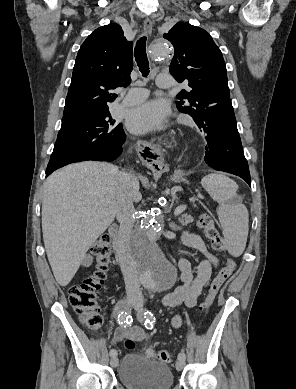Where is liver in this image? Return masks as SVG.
<instances>
[{"label": "liver", "instance_id": "obj_1", "mask_svg": "<svg viewBox=\"0 0 296 389\" xmlns=\"http://www.w3.org/2000/svg\"><path fill=\"white\" fill-rule=\"evenodd\" d=\"M117 166L93 161L68 165L46 180L42 232L47 257L58 284L66 286L87 251L116 215ZM132 198L141 199L134 176Z\"/></svg>", "mask_w": 296, "mask_h": 389}]
</instances>
